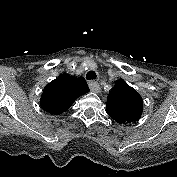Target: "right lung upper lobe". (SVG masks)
Wrapping results in <instances>:
<instances>
[{"label":"right lung upper lobe","instance_id":"obj_1","mask_svg":"<svg viewBox=\"0 0 177 177\" xmlns=\"http://www.w3.org/2000/svg\"><path fill=\"white\" fill-rule=\"evenodd\" d=\"M85 93L86 90L78 80L61 75L45 86L40 105L50 114H60Z\"/></svg>","mask_w":177,"mask_h":177}]
</instances>
